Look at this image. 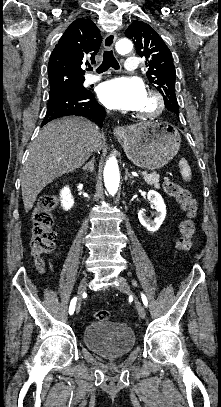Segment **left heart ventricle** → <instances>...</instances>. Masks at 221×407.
I'll use <instances>...</instances> for the list:
<instances>
[{
	"label": "left heart ventricle",
	"instance_id": "b2bd125f",
	"mask_svg": "<svg viewBox=\"0 0 221 407\" xmlns=\"http://www.w3.org/2000/svg\"><path fill=\"white\" fill-rule=\"evenodd\" d=\"M151 107V101L150 99L146 96L143 105L141 106V108L139 109V111H146L148 109H150Z\"/></svg>",
	"mask_w": 221,
	"mask_h": 407
}]
</instances>
